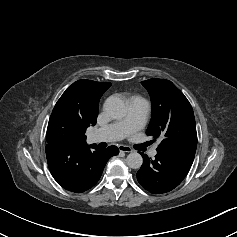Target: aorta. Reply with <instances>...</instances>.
<instances>
[{
    "mask_svg": "<svg viewBox=\"0 0 237 237\" xmlns=\"http://www.w3.org/2000/svg\"><path fill=\"white\" fill-rule=\"evenodd\" d=\"M104 109L109 116L114 119H121L126 115L127 108L124 101L117 96H110L104 104ZM126 163L132 169H139L142 166V156L137 152H131L127 158Z\"/></svg>",
    "mask_w": 237,
    "mask_h": 237,
    "instance_id": "762f6f07",
    "label": "aorta"
}]
</instances>
